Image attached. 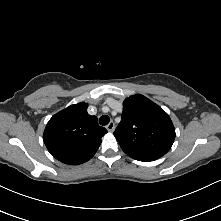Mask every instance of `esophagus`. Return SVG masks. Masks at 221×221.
<instances>
[{"instance_id":"34e87169","label":"esophagus","mask_w":221,"mask_h":221,"mask_svg":"<svg viewBox=\"0 0 221 221\" xmlns=\"http://www.w3.org/2000/svg\"><path fill=\"white\" fill-rule=\"evenodd\" d=\"M106 129L109 131V132H113L114 129H115V124L113 121L109 122V124L106 126Z\"/></svg>"}]
</instances>
